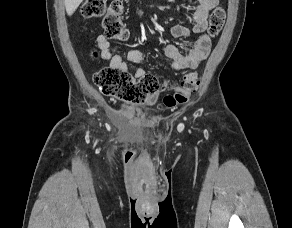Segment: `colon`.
I'll return each instance as SVG.
<instances>
[{"instance_id": "colon-1", "label": "colon", "mask_w": 292, "mask_h": 228, "mask_svg": "<svg viewBox=\"0 0 292 228\" xmlns=\"http://www.w3.org/2000/svg\"><path fill=\"white\" fill-rule=\"evenodd\" d=\"M123 3L113 0L107 5V0H86L82 6V15L85 18L102 17V27L108 38L124 41L129 32L123 23ZM225 10L216 7L209 19L208 32L216 37L225 22ZM94 83L102 94L117 98L131 104H141L160 91V84L154 75L146 74L135 79L127 71L112 67H105L96 72ZM198 87V78L195 73L186 74L181 82L173 88V93L163 98L165 108H173L188 101L190 95Z\"/></svg>"}]
</instances>
